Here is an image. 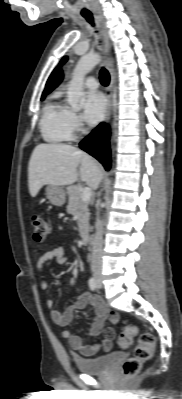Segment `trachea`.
Listing matches in <instances>:
<instances>
[{
  "label": "trachea",
  "mask_w": 182,
  "mask_h": 399,
  "mask_svg": "<svg viewBox=\"0 0 182 399\" xmlns=\"http://www.w3.org/2000/svg\"><path fill=\"white\" fill-rule=\"evenodd\" d=\"M84 18L94 26V19L91 14H84ZM100 81L103 86H107L110 82V75L105 68H102L100 71Z\"/></svg>",
  "instance_id": "obj_1"
}]
</instances>
